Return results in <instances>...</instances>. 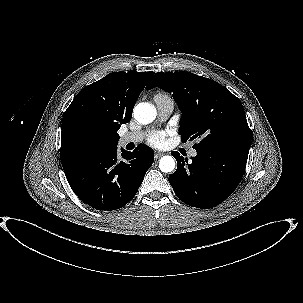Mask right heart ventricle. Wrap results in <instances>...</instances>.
Masks as SVG:
<instances>
[{"mask_svg": "<svg viewBox=\"0 0 303 303\" xmlns=\"http://www.w3.org/2000/svg\"><path fill=\"white\" fill-rule=\"evenodd\" d=\"M155 98H160V99H171L168 95L166 94H157Z\"/></svg>", "mask_w": 303, "mask_h": 303, "instance_id": "obj_1", "label": "right heart ventricle"}]
</instances>
